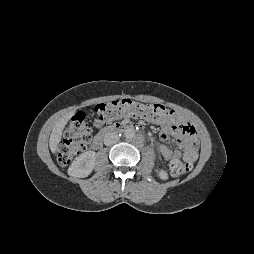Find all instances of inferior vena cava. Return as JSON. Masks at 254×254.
<instances>
[{"label":"inferior vena cava","mask_w":254,"mask_h":254,"mask_svg":"<svg viewBox=\"0 0 254 254\" xmlns=\"http://www.w3.org/2000/svg\"><path fill=\"white\" fill-rule=\"evenodd\" d=\"M119 140V136L115 132H109L104 136V144L106 146H112L116 144Z\"/></svg>","instance_id":"1"}]
</instances>
